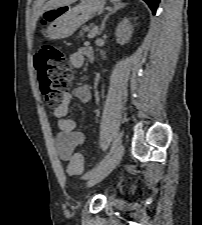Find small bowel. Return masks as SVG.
Here are the masks:
<instances>
[{"mask_svg": "<svg viewBox=\"0 0 202 225\" xmlns=\"http://www.w3.org/2000/svg\"><path fill=\"white\" fill-rule=\"evenodd\" d=\"M93 55L92 48L89 46L80 47L76 52L70 55L69 62L75 68L83 66L86 58ZM75 97L82 102L90 101V92L88 87L82 86L71 93H68L63 98L61 104L54 108L52 114L57 120L59 133L55 138V150L59 159L70 163L73 159H79L80 169L76 173L81 174L84 169L83 156L79 151V148L84 144L85 137L77 129V123L74 119L68 118L69 105L71 99Z\"/></svg>", "mask_w": 202, "mask_h": 225, "instance_id": "obj_1", "label": "small bowel"}]
</instances>
